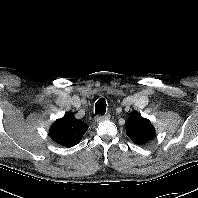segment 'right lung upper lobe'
I'll list each match as a JSON object with an SVG mask.
<instances>
[{
  "instance_id": "right-lung-upper-lobe-1",
  "label": "right lung upper lobe",
  "mask_w": 198,
  "mask_h": 198,
  "mask_svg": "<svg viewBox=\"0 0 198 198\" xmlns=\"http://www.w3.org/2000/svg\"><path fill=\"white\" fill-rule=\"evenodd\" d=\"M87 129L88 125L82 120L76 119L71 113H66L52 124L49 133L55 142L72 147L80 141Z\"/></svg>"
}]
</instances>
